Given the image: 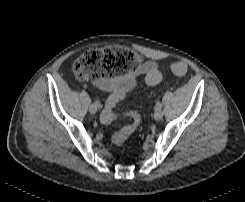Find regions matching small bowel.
<instances>
[{
	"instance_id": "c3829d8e",
	"label": "small bowel",
	"mask_w": 245,
	"mask_h": 202,
	"mask_svg": "<svg viewBox=\"0 0 245 202\" xmlns=\"http://www.w3.org/2000/svg\"><path fill=\"white\" fill-rule=\"evenodd\" d=\"M156 72H160L159 65L156 61H138L130 72V77L136 78L143 76L145 85L153 86L158 84L161 79V77L159 79H155L154 74ZM92 84L99 90L109 93L106 105L110 104L112 109L118 104L124 95L121 91L113 88L114 82L112 80L102 78L93 81Z\"/></svg>"
}]
</instances>
